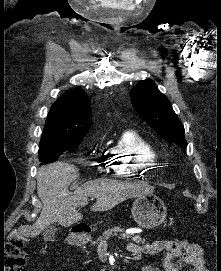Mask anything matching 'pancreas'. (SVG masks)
Instances as JSON below:
<instances>
[{"instance_id":"obj_1","label":"pancreas","mask_w":221,"mask_h":271,"mask_svg":"<svg viewBox=\"0 0 221 271\" xmlns=\"http://www.w3.org/2000/svg\"><path fill=\"white\" fill-rule=\"evenodd\" d=\"M113 235H121V237H126V242H138V244H146L144 237H127V233H122L120 227H112V229H106L103 231L101 237H96L95 240H88V245H98L99 242H115L117 239ZM119 238L121 242L123 239Z\"/></svg>"}]
</instances>
